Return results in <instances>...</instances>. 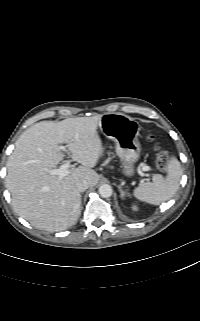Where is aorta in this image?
I'll return each mask as SVG.
<instances>
[{"label":"aorta","mask_w":200,"mask_h":321,"mask_svg":"<svg viewBox=\"0 0 200 321\" xmlns=\"http://www.w3.org/2000/svg\"><path fill=\"white\" fill-rule=\"evenodd\" d=\"M98 191L103 198H109L112 195V187L108 184L101 185Z\"/></svg>","instance_id":"1"}]
</instances>
